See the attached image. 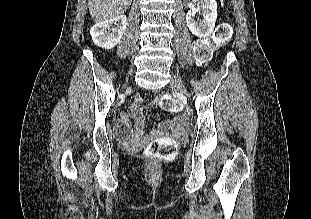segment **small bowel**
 <instances>
[{
	"label": "small bowel",
	"mask_w": 311,
	"mask_h": 219,
	"mask_svg": "<svg viewBox=\"0 0 311 219\" xmlns=\"http://www.w3.org/2000/svg\"><path fill=\"white\" fill-rule=\"evenodd\" d=\"M142 99L140 96H136L130 105L131 117L135 120V126L130 132H124L121 136L123 142L139 141L144 138V123L145 119L140 110ZM129 123V118L127 115L121 117V124L127 126ZM175 137H181L186 132V127L184 126L181 117L176 116L173 118L172 123L166 126Z\"/></svg>",
	"instance_id": "c3829d8e"
}]
</instances>
